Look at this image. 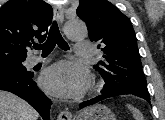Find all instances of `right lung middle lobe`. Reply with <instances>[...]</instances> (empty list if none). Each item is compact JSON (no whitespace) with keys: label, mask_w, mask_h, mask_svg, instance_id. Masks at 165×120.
Returning a JSON list of instances; mask_svg holds the SVG:
<instances>
[{"label":"right lung middle lobe","mask_w":165,"mask_h":120,"mask_svg":"<svg viewBox=\"0 0 165 120\" xmlns=\"http://www.w3.org/2000/svg\"><path fill=\"white\" fill-rule=\"evenodd\" d=\"M24 60L0 62V74H11L19 76H32L33 73L27 71L22 65Z\"/></svg>","instance_id":"right-lung-middle-lobe-1"}]
</instances>
